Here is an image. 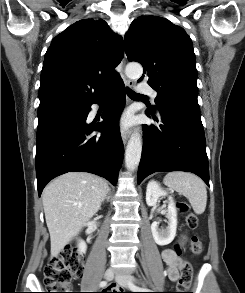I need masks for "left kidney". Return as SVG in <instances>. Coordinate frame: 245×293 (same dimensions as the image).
<instances>
[{
  "label": "left kidney",
  "instance_id": "5707ae66",
  "mask_svg": "<svg viewBox=\"0 0 245 293\" xmlns=\"http://www.w3.org/2000/svg\"><path fill=\"white\" fill-rule=\"evenodd\" d=\"M167 192L163 190L155 181H150L146 190V203L148 206H155L161 196H166ZM168 226L166 229H159L158 222L151 224V232L155 242L160 245L170 244L176 236L177 228V211L176 205L172 198L168 199L167 210Z\"/></svg>",
  "mask_w": 245,
  "mask_h": 293
}]
</instances>
